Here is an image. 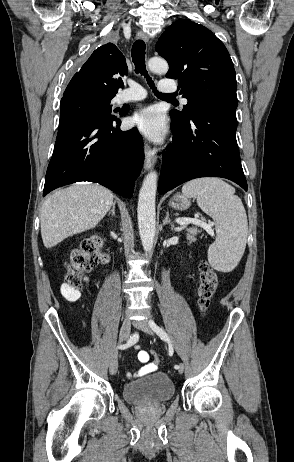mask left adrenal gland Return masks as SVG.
Here are the masks:
<instances>
[{"label":"left adrenal gland","mask_w":294,"mask_h":462,"mask_svg":"<svg viewBox=\"0 0 294 462\" xmlns=\"http://www.w3.org/2000/svg\"><path fill=\"white\" fill-rule=\"evenodd\" d=\"M169 224L171 226V230L174 228V223L169 219V212L166 213V217L163 221V226Z\"/></svg>","instance_id":"1"}]
</instances>
